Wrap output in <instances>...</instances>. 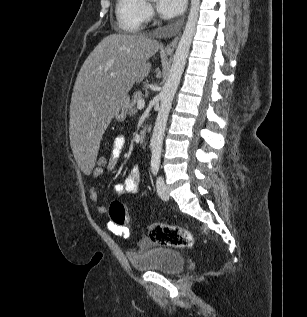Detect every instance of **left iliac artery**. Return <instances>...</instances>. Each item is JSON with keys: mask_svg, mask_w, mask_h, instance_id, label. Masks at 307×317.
<instances>
[{"mask_svg": "<svg viewBox=\"0 0 307 317\" xmlns=\"http://www.w3.org/2000/svg\"><path fill=\"white\" fill-rule=\"evenodd\" d=\"M158 171H159V166H153L152 167V172H153L154 175H157Z\"/></svg>", "mask_w": 307, "mask_h": 317, "instance_id": "44dca946", "label": "left iliac artery"}]
</instances>
